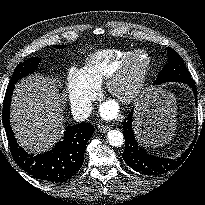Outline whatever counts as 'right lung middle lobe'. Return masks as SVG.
Returning <instances> with one entry per match:
<instances>
[{
    "instance_id": "1",
    "label": "right lung middle lobe",
    "mask_w": 205,
    "mask_h": 205,
    "mask_svg": "<svg viewBox=\"0 0 205 205\" xmlns=\"http://www.w3.org/2000/svg\"><path fill=\"white\" fill-rule=\"evenodd\" d=\"M58 49H63L66 45H57L55 46ZM41 60L37 57L30 58L25 60L23 63H20L14 70L13 75L11 77L9 85L15 84L19 79L29 75L30 73L34 72Z\"/></svg>"
}]
</instances>
